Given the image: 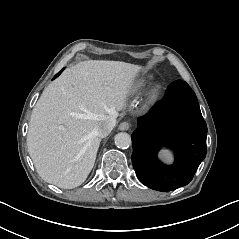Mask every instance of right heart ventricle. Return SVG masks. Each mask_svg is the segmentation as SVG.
<instances>
[{
	"instance_id": "e07e8e85",
	"label": "right heart ventricle",
	"mask_w": 239,
	"mask_h": 239,
	"mask_svg": "<svg viewBox=\"0 0 239 239\" xmlns=\"http://www.w3.org/2000/svg\"><path fill=\"white\" fill-rule=\"evenodd\" d=\"M148 80L146 78L141 79L133 88V94H140L148 86Z\"/></svg>"
}]
</instances>
